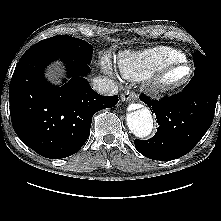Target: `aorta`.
<instances>
[{"label": "aorta", "instance_id": "obj_1", "mask_svg": "<svg viewBox=\"0 0 221 221\" xmlns=\"http://www.w3.org/2000/svg\"><path fill=\"white\" fill-rule=\"evenodd\" d=\"M126 121L130 131L138 138L147 137L152 132L153 118L146 107L129 112Z\"/></svg>", "mask_w": 221, "mask_h": 221}]
</instances>
